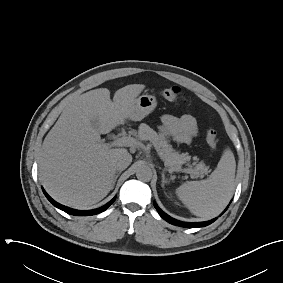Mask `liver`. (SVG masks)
Listing matches in <instances>:
<instances>
[{"instance_id":"1","label":"liver","mask_w":283,"mask_h":283,"mask_svg":"<svg viewBox=\"0 0 283 283\" xmlns=\"http://www.w3.org/2000/svg\"><path fill=\"white\" fill-rule=\"evenodd\" d=\"M144 84L127 85L110 99L107 88L88 91L72 99L49 131L39 159L40 178L56 201L82 208L101 201L113 189L114 159L125 148L101 143V134L128 119L131 103ZM98 121L94 128L92 121Z\"/></svg>"}]
</instances>
